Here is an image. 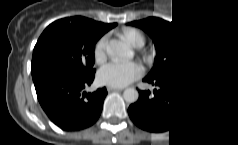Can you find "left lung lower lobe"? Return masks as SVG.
<instances>
[{
    "label": "left lung lower lobe",
    "mask_w": 238,
    "mask_h": 145,
    "mask_svg": "<svg viewBox=\"0 0 238 145\" xmlns=\"http://www.w3.org/2000/svg\"><path fill=\"white\" fill-rule=\"evenodd\" d=\"M200 78L201 72H182L153 79L145 77L144 81L157 88L153 96L150 91L139 92V99L128 108L131 120L149 132H173L194 104Z\"/></svg>",
    "instance_id": "0a47b994"
}]
</instances>
